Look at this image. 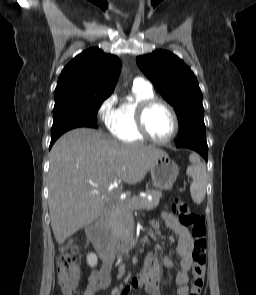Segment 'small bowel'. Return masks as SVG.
Here are the masks:
<instances>
[{
    "mask_svg": "<svg viewBox=\"0 0 256 295\" xmlns=\"http://www.w3.org/2000/svg\"><path fill=\"white\" fill-rule=\"evenodd\" d=\"M161 217L167 227L178 236L177 254L180 257V271L175 280L177 284V295H188V273L192 266L193 237L188 229L173 214L163 211ZM153 226L159 228L157 222H153ZM113 262H104L101 267L91 272L83 295H94L99 290L107 289L110 286V273ZM163 266L165 268H172L174 266L173 259L169 256L165 257L163 259ZM164 279V273L158 258L154 254L148 253L144 259L141 276L127 282L116 294L129 295L132 290L144 289L149 295H161Z\"/></svg>",
    "mask_w": 256,
    "mask_h": 295,
    "instance_id": "small-bowel-1",
    "label": "small bowel"
}]
</instances>
